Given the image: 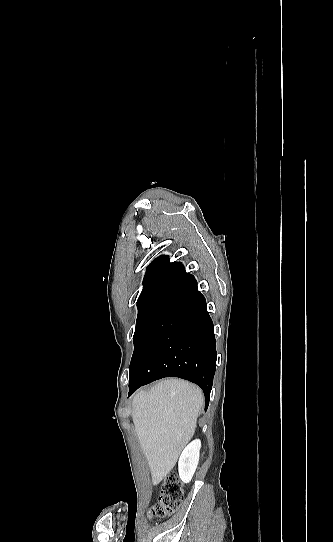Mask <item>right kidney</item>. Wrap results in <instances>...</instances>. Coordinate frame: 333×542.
<instances>
[{
  "mask_svg": "<svg viewBox=\"0 0 333 542\" xmlns=\"http://www.w3.org/2000/svg\"><path fill=\"white\" fill-rule=\"evenodd\" d=\"M200 440H193L184 448L178 462L179 478L184 484L191 482L199 462Z\"/></svg>",
  "mask_w": 333,
  "mask_h": 542,
  "instance_id": "obj_1",
  "label": "right kidney"
}]
</instances>
